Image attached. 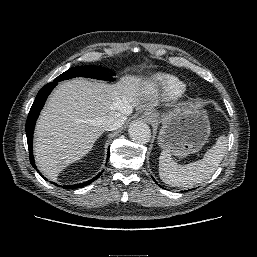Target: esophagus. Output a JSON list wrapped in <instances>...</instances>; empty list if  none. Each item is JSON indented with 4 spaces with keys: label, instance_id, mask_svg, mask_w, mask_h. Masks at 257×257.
<instances>
[{
    "label": "esophagus",
    "instance_id": "1",
    "mask_svg": "<svg viewBox=\"0 0 257 257\" xmlns=\"http://www.w3.org/2000/svg\"><path fill=\"white\" fill-rule=\"evenodd\" d=\"M142 119L147 123H152L155 119V114L150 111L145 112L142 115Z\"/></svg>",
    "mask_w": 257,
    "mask_h": 257
}]
</instances>
